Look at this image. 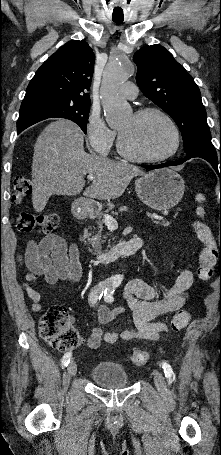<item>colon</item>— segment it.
Returning a JSON list of instances; mask_svg holds the SVG:
<instances>
[{"label":"colon","mask_w":221,"mask_h":455,"mask_svg":"<svg viewBox=\"0 0 221 455\" xmlns=\"http://www.w3.org/2000/svg\"><path fill=\"white\" fill-rule=\"evenodd\" d=\"M32 183L29 179L18 176L14 179L12 201L21 204L32 193ZM59 224V216L55 213L34 214L21 212L17 216V227L21 232L31 233L37 231L41 234L52 233ZM195 230L203 248L199 254L197 276L201 281L212 278L220 249L211 235L207 226L202 222L195 223ZM190 320L187 311H178L172 319V328L180 330ZM40 336L51 346L58 350H70L80 344L77 330L71 326L68 312L65 307L57 305L48 309L39 321ZM149 356L145 351H135L130 356V362L135 366H143L148 362Z\"/></svg>","instance_id":"obj_1"}]
</instances>
